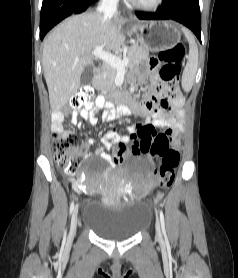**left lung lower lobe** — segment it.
Masks as SVG:
<instances>
[{
    "mask_svg": "<svg viewBox=\"0 0 238 278\" xmlns=\"http://www.w3.org/2000/svg\"><path fill=\"white\" fill-rule=\"evenodd\" d=\"M143 20L172 19L190 28L201 42L199 0H163L160 9L151 14H138Z\"/></svg>",
    "mask_w": 238,
    "mask_h": 278,
    "instance_id": "0a47b994",
    "label": "left lung lower lobe"
}]
</instances>
